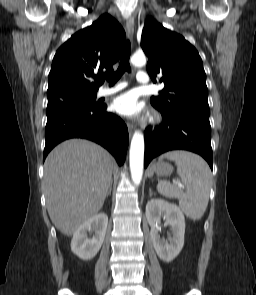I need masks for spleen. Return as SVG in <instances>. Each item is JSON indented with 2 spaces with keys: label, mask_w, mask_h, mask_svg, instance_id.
Listing matches in <instances>:
<instances>
[{
  "label": "spleen",
  "mask_w": 256,
  "mask_h": 295,
  "mask_svg": "<svg viewBox=\"0 0 256 295\" xmlns=\"http://www.w3.org/2000/svg\"><path fill=\"white\" fill-rule=\"evenodd\" d=\"M165 158L175 162L183 186L164 181L157 185L158 192L168 198L179 199L181 210L192 220L201 219L208 205L212 178L208 164L200 156L187 151L167 152L159 159Z\"/></svg>",
  "instance_id": "spleen-1"
}]
</instances>
